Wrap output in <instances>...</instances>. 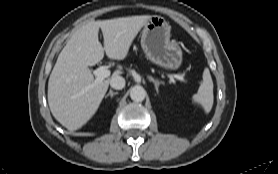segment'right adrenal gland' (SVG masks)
Returning a JSON list of instances; mask_svg holds the SVG:
<instances>
[{
	"mask_svg": "<svg viewBox=\"0 0 278 174\" xmlns=\"http://www.w3.org/2000/svg\"><path fill=\"white\" fill-rule=\"evenodd\" d=\"M118 92H113L112 90L109 91V93L105 96V98H107L108 96H110L111 98L114 96V95H117Z\"/></svg>",
	"mask_w": 278,
	"mask_h": 174,
	"instance_id": "2a0ac1e0",
	"label": "right adrenal gland"
}]
</instances>
